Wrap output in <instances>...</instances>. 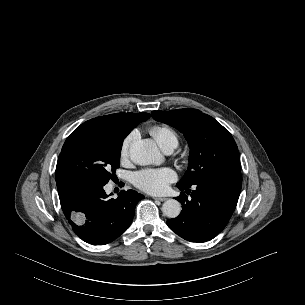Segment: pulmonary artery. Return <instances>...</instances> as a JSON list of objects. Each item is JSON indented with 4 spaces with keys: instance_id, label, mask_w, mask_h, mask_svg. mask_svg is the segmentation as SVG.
<instances>
[{
    "instance_id": "e3ab8cb5",
    "label": "pulmonary artery",
    "mask_w": 305,
    "mask_h": 305,
    "mask_svg": "<svg viewBox=\"0 0 305 305\" xmlns=\"http://www.w3.org/2000/svg\"><path fill=\"white\" fill-rule=\"evenodd\" d=\"M174 148H166L164 151L167 153V154H170L172 151H173Z\"/></svg>"
}]
</instances>
